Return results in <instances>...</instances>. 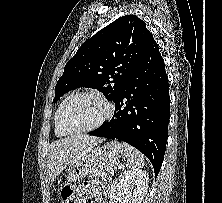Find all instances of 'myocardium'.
Listing matches in <instances>:
<instances>
[{
    "instance_id": "1",
    "label": "myocardium",
    "mask_w": 222,
    "mask_h": 203,
    "mask_svg": "<svg viewBox=\"0 0 222 203\" xmlns=\"http://www.w3.org/2000/svg\"><path fill=\"white\" fill-rule=\"evenodd\" d=\"M84 96L93 97L99 100L105 106V114L97 123L89 127H84V128L71 127L70 125L67 124L65 120V114H66L67 108L73 100L79 97H84ZM113 113H114L113 104L102 94L98 92H92V91L78 92L68 97L66 101L64 102L60 110V114H59V123L61 127L69 133H86V132H91L100 128L103 124H105L112 117Z\"/></svg>"
}]
</instances>
